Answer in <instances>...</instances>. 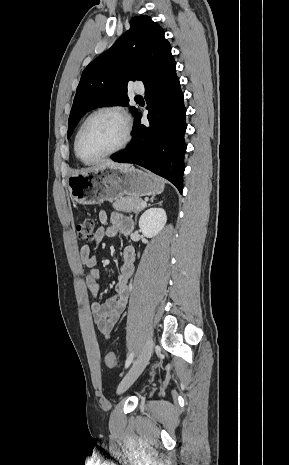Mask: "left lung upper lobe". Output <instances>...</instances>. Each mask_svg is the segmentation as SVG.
Returning a JSON list of instances; mask_svg holds the SVG:
<instances>
[{"label": "left lung upper lobe", "instance_id": "1", "mask_svg": "<svg viewBox=\"0 0 289 465\" xmlns=\"http://www.w3.org/2000/svg\"><path fill=\"white\" fill-rule=\"evenodd\" d=\"M106 52L83 71L68 121L69 138L86 111L102 105L127 106V84L142 80L145 87L170 74L176 67L163 29L149 16H136ZM135 116L137 109L130 107Z\"/></svg>", "mask_w": 289, "mask_h": 465}]
</instances>
